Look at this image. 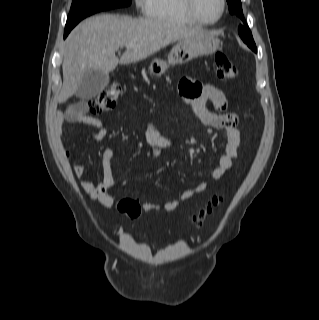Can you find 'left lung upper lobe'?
Listing matches in <instances>:
<instances>
[{
    "label": "left lung upper lobe",
    "instance_id": "5c2ea615",
    "mask_svg": "<svg viewBox=\"0 0 319 320\" xmlns=\"http://www.w3.org/2000/svg\"><path fill=\"white\" fill-rule=\"evenodd\" d=\"M229 5V11L233 15L239 16L243 22L245 23L242 11L241 0H227ZM238 32L242 40L253 50L257 51L255 42L252 37V33L249 30L248 25L245 23V26L240 25L238 28Z\"/></svg>",
    "mask_w": 319,
    "mask_h": 320
}]
</instances>
